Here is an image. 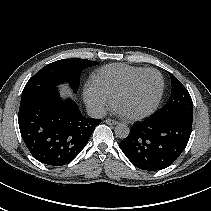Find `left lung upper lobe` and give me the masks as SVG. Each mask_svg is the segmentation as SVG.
Segmentation results:
<instances>
[{"mask_svg":"<svg viewBox=\"0 0 211 211\" xmlns=\"http://www.w3.org/2000/svg\"><path fill=\"white\" fill-rule=\"evenodd\" d=\"M171 95L162 109L151 118L163 119L178 117L193 121V102L187 89L171 73Z\"/></svg>","mask_w":211,"mask_h":211,"instance_id":"left-lung-upper-lobe-1","label":"left lung upper lobe"}]
</instances>
